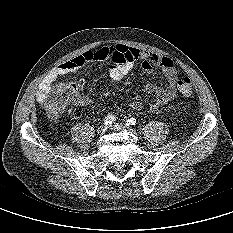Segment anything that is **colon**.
Masks as SVG:
<instances>
[{
    "label": "colon",
    "mask_w": 233,
    "mask_h": 233,
    "mask_svg": "<svg viewBox=\"0 0 233 233\" xmlns=\"http://www.w3.org/2000/svg\"><path fill=\"white\" fill-rule=\"evenodd\" d=\"M178 88L182 95L190 96L193 92L189 77H182L178 82ZM79 95V85L74 81L57 85L49 96L46 106L52 115L60 114L70 102H74Z\"/></svg>",
    "instance_id": "1"
}]
</instances>
